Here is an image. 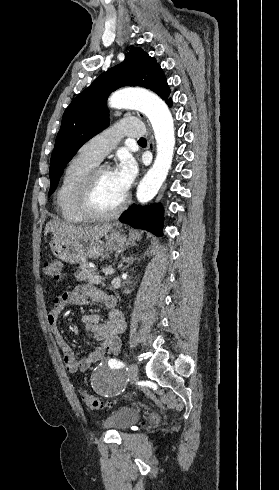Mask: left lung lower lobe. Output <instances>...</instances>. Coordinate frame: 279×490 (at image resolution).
<instances>
[{
  "mask_svg": "<svg viewBox=\"0 0 279 490\" xmlns=\"http://www.w3.org/2000/svg\"><path fill=\"white\" fill-rule=\"evenodd\" d=\"M167 104L172 105L171 99ZM119 220L132 227L148 230L157 236L162 235L163 210L160 205L147 208L133 205L121 215Z\"/></svg>",
  "mask_w": 279,
  "mask_h": 490,
  "instance_id": "obj_1",
  "label": "left lung lower lobe"
}]
</instances>
